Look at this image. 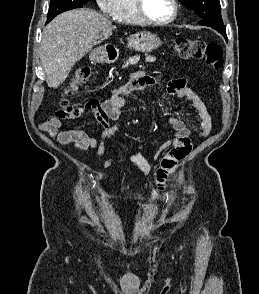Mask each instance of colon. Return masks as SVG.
Returning a JSON list of instances; mask_svg holds the SVG:
<instances>
[{"label": "colon", "mask_w": 259, "mask_h": 294, "mask_svg": "<svg viewBox=\"0 0 259 294\" xmlns=\"http://www.w3.org/2000/svg\"><path fill=\"white\" fill-rule=\"evenodd\" d=\"M175 52L184 59H199L215 70L223 65V53L219 44L205 43L201 40L180 37L172 42ZM92 76L88 67L78 69L73 75L69 84L65 87L63 96L60 99V107L65 111L70 107L68 96L82 84L87 83Z\"/></svg>", "instance_id": "obj_1"}]
</instances>
